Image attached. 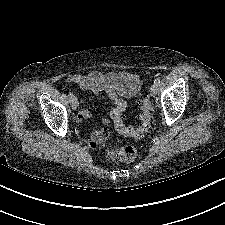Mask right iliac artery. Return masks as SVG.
I'll return each mask as SVG.
<instances>
[{"label":"right iliac artery","mask_w":225,"mask_h":225,"mask_svg":"<svg viewBox=\"0 0 225 225\" xmlns=\"http://www.w3.org/2000/svg\"><path fill=\"white\" fill-rule=\"evenodd\" d=\"M69 99L73 96L71 92L68 93Z\"/></svg>","instance_id":"82829eb1"}]
</instances>
